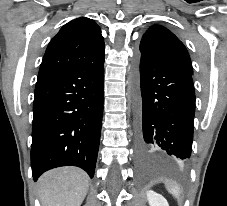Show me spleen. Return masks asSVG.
I'll use <instances>...</instances> for the list:
<instances>
[{
    "mask_svg": "<svg viewBox=\"0 0 227 206\" xmlns=\"http://www.w3.org/2000/svg\"><path fill=\"white\" fill-rule=\"evenodd\" d=\"M166 187H167L168 191L175 197H178L181 194L180 186L172 180L166 181Z\"/></svg>",
    "mask_w": 227,
    "mask_h": 206,
    "instance_id": "3e777b00",
    "label": "spleen"
}]
</instances>
